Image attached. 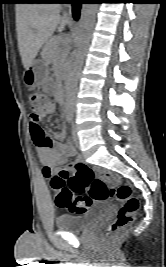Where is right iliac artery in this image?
I'll return each mask as SVG.
<instances>
[{"label":"right iliac artery","instance_id":"82829eb1","mask_svg":"<svg viewBox=\"0 0 166 267\" xmlns=\"http://www.w3.org/2000/svg\"><path fill=\"white\" fill-rule=\"evenodd\" d=\"M66 121H67L68 123L71 122V116H70L69 114L66 115Z\"/></svg>","mask_w":166,"mask_h":267}]
</instances>
